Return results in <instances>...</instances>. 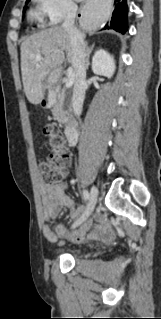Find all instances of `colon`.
I'll use <instances>...</instances> for the list:
<instances>
[{
  "label": "colon",
  "instance_id": "5ec220e1",
  "mask_svg": "<svg viewBox=\"0 0 161 319\" xmlns=\"http://www.w3.org/2000/svg\"><path fill=\"white\" fill-rule=\"evenodd\" d=\"M49 138L54 154L46 158L41 166L42 176L46 183L53 184L63 178L70 166V156L63 148V137L55 133L51 126L43 129Z\"/></svg>",
  "mask_w": 161,
  "mask_h": 319
}]
</instances>
